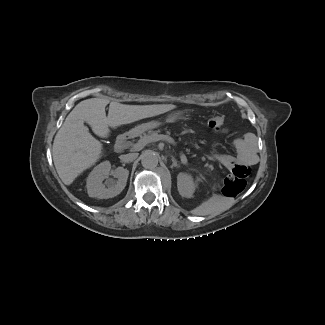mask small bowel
<instances>
[{"mask_svg": "<svg viewBox=\"0 0 325 325\" xmlns=\"http://www.w3.org/2000/svg\"><path fill=\"white\" fill-rule=\"evenodd\" d=\"M212 131L214 133H218L216 130L212 129ZM225 132V131H224ZM236 154L237 156L239 157V159L242 161V162H251V159H252V156L250 154H248L247 150L245 149V147L242 145V144H238L236 146ZM229 158H223L221 159V161L223 163H228L229 162Z\"/></svg>", "mask_w": 325, "mask_h": 325, "instance_id": "obj_1", "label": "small bowel"}]
</instances>
